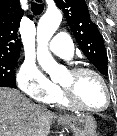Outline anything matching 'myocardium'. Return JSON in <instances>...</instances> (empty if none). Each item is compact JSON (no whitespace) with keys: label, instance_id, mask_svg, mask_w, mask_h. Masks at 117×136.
Listing matches in <instances>:
<instances>
[{"label":"myocardium","instance_id":"1","mask_svg":"<svg viewBox=\"0 0 117 136\" xmlns=\"http://www.w3.org/2000/svg\"><path fill=\"white\" fill-rule=\"evenodd\" d=\"M69 72L73 75H81V74L89 73V74H92L95 77H97L98 80L101 82V84L104 87V90H105V93H106V103H105L104 107L98 108V109L87 107V106L83 105L82 103H80L75 98V95H74L72 89L67 88L63 85H60L63 97H64V99H65V101L67 102L68 105H70V106H72L76 109L86 111V112H90V113L104 112L110 107V105L112 103V92H111V89H110L107 81L105 80V78L103 77V75L100 72H98L95 69L89 68V67H73L72 69H70Z\"/></svg>","mask_w":117,"mask_h":136}]
</instances>
